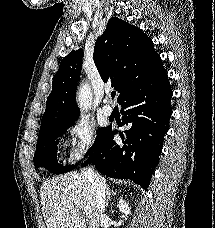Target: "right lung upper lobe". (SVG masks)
<instances>
[{
    "instance_id": "right-lung-upper-lobe-1",
    "label": "right lung upper lobe",
    "mask_w": 215,
    "mask_h": 228,
    "mask_svg": "<svg viewBox=\"0 0 215 228\" xmlns=\"http://www.w3.org/2000/svg\"><path fill=\"white\" fill-rule=\"evenodd\" d=\"M83 50L71 51L63 58L53 78L41 127L75 121L80 114L76 88ZM94 63L104 82L111 81L120 93L121 103L129 88L140 80H156L166 75L152 40L141 29L113 17L94 46Z\"/></svg>"
}]
</instances>
